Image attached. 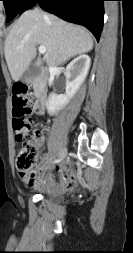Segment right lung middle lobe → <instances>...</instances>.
<instances>
[{
	"mask_svg": "<svg viewBox=\"0 0 133 253\" xmlns=\"http://www.w3.org/2000/svg\"><path fill=\"white\" fill-rule=\"evenodd\" d=\"M6 10V22L11 21L21 10L26 0H0Z\"/></svg>",
	"mask_w": 133,
	"mask_h": 253,
	"instance_id": "right-lung-middle-lobe-1",
	"label": "right lung middle lobe"
}]
</instances>
